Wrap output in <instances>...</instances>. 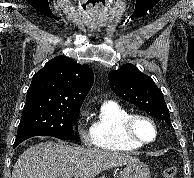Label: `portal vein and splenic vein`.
I'll list each match as a JSON object with an SVG mask.
<instances>
[{"instance_id":"portal-vein-and-splenic-vein-1","label":"portal vein and splenic vein","mask_w":194,"mask_h":178,"mask_svg":"<svg viewBox=\"0 0 194 178\" xmlns=\"http://www.w3.org/2000/svg\"><path fill=\"white\" fill-rule=\"evenodd\" d=\"M62 178H70V175H64Z\"/></svg>"}]
</instances>
